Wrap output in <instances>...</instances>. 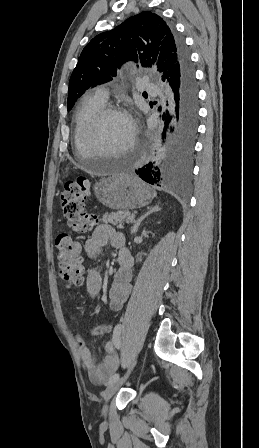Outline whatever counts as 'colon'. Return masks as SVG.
I'll return each mask as SVG.
<instances>
[{"mask_svg":"<svg viewBox=\"0 0 259 448\" xmlns=\"http://www.w3.org/2000/svg\"><path fill=\"white\" fill-rule=\"evenodd\" d=\"M91 188L90 180L79 177L66 183L61 195V209L67 225L82 233L89 232L97 221L96 216L88 213L85 207ZM56 246L61 277L71 286H80L83 283L80 245L68 235H60L56 239Z\"/></svg>","mask_w":259,"mask_h":448,"instance_id":"5ec220e1","label":"colon"}]
</instances>
